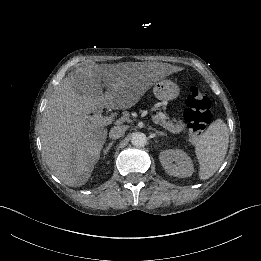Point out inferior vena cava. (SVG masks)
<instances>
[{"instance_id": "1", "label": "inferior vena cava", "mask_w": 261, "mask_h": 261, "mask_svg": "<svg viewBox=\"0 0 261 261\" xmlns=\"http://www.w3.org/2000/svg\"><path fill=\"white\" fill-rule=\"evenodd\" d=\"M126 129V126H114L109 132V137L113 140L118 139L124 136Z\"/></svg>"}]
</instances>
